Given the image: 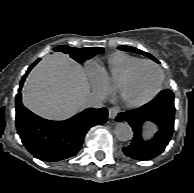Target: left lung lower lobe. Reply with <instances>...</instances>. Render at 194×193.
I'll use <instances>...</instances> for the list:
<instances>
[{
    "label": "left lung lower lobe",
    "instance_id": "left-lung-lower-lobe-1",
    "mask_svg": "<svg viewBox=\"0 0 194 193\" xmlns=\"http://www.w3.org/2000/svg\"><path fill=\"white\" fill-rule=\"evenodd\" d=\"M174 94L164 90L149 103L140 108L119 113L117 122L126 121L133 129L132 142L123 148L124 154L136 160H150L161 154L169 143L174 130ZM146 121L157 124L159 130L148 141L141 137V128Z\"/></svg>",
    "mask_w": 194,
    "mask_h": 193
}]
</instances>
